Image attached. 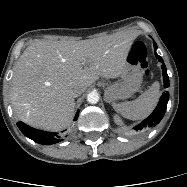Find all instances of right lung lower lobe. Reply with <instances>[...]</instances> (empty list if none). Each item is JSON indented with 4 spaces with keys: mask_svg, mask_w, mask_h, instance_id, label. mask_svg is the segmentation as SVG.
<instances>
[{
    "mask_svg": "<svg viewBox=\"0 0 187 187\" xmlns=\"http://www.w3.org/2000/svg\"><path fill=\"white\" fill-rule=\"evenodd\" d=\"M79 115V111H77L74 120L76 121ZM18 128L21 130V132L28 138L32 139L34 142L39 144H55L63 139L58 136L57 133H49L42 130H37L35 128H32L28 125H26L23 122L17 123Z\"/></svg>",
    "mask_w": 187,
    "mask_h": 187,
    "instance_id": "right-lung-lower-lobe-1",
    "label": "right lung lower lobe"
}]
</instances>
